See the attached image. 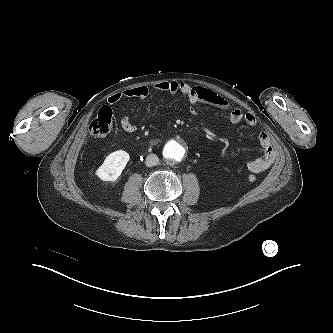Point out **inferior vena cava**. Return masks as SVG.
Masks as SVG:
<instances>
[{"instance_id": "1", "label": "inferior vena cava", "mask_w": 333, "mask_h": 333, "mask_svg": "<svg viewBox=\"0 0 333 333\" xmlns=\"http://www.w3.org/2000/svg\"><path fill=\"white\" fill-rule=\"evenodd\" d=\"M145 163H146L147 167L156 166L159 163V158L155 154H149L146 157V162Z\"/></svg>"}]
</instances>
